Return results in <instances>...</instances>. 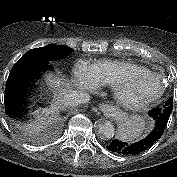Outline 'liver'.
Wrapping results in <instances>:
<instances>
[{
  "instance_id": "1",
  "label": "liver",
  "mask_w": 177,
  "mask_h": 177,
  "mask_svg": "<svg viewBox=\"0 0 177 177\" xmlns=\"http://www.w3.org/2000/svg\"><path fill=\"white\" fill-rule=\"evenodd\" d=\"M46 83L52 90H57L58 95L56 94L57 101L51 105L50 108L42 110V117L38 116L34 124L28 125V129L32 132H39L47 126L51 120L50 115L56 114L60 109V100L63 95L68 93L67 86L63 88V85L66 83L63 79L59 77H53L52 75L46 76Z\"/></svg>"
}]
</instances>
